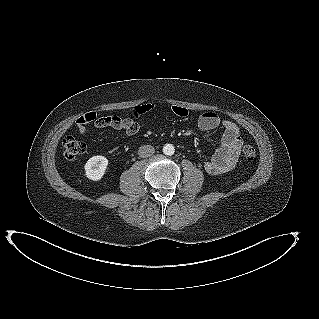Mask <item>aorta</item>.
Listing matches in <instances>:
<instances>
[{"mask_svg":"<svg viewBox=\"0 0 319 319\" xmlns=\"http://www.w3.org/2000/svg\"><path fill=\"white\" fill-rule=\"evenodd\" d=\"M175 152V148L172 144H165L164 147H163V153L165 155H173Z\"/></svg>","mask_w":319,"mask_h":319,"instance_id":"aorta-1","label":"aorta"}]
</instances>
